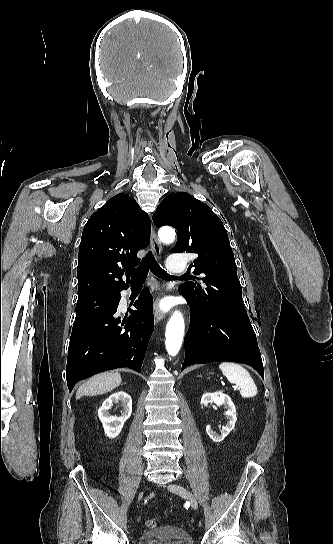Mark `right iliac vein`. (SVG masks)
I'll use <instances>...</instances> for the list:
<instances>
[{
    "instance_id": "1",
    "label": "right iliac vein",
    "mask_w": 333,
    "mask_h": 544,
    "mask_svg": "<svg viewBox=\"0 0 333 544\" xmlns=\"http://www.w3.org/2000/svg\"><path fill=\"white\" fill-rule=\"evenodd\" d=\"M142 498H143V492H141V493L139 494L138 501L140 502V501L142 500Z\"/></svg>"
}]
</instances>
